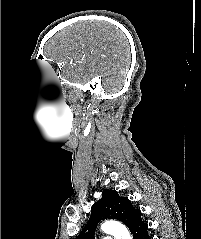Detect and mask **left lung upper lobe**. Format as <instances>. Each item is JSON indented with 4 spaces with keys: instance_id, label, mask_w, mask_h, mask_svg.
Masks as SVG:
<instances>
[{
    "instance_id": "1",
    "label": "left lung upper lobe",
    "mask_w": 201,
    "mask_h": 239,
    "mask_svg": "<svg viewBox=\"0 0 201 239\" xmlns=\"http://www.w3.org/2000/svg\"><path fill=\"white\" fill-rule=\"evenodd\" d=\"M105 218L122 221L132 232L143 223L140 209H135L127 197H120L117 191L103 190L102 198L91 207V216L75 239H94L98 222Z\"/></svg>"
}]
</instances>
